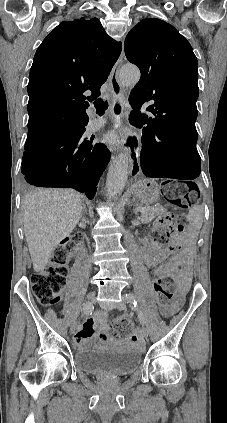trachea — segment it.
Wrapping results in <instances>:
<instances>
[{
  "instance_id": "3493384b",
  "label": "trachea",
  "mask_w": 227,
  "mask_h": 423,
  "mask_svg": "<svg viewBox=\"0 0 227 423\" xmlns=\"http://www.w3.org/2000/svg\"><path fill=\"white\" fill-rule=\"evenodd\" d=\"M94 106L96 108V113L101 116L105 113V110H107L108 102L107 100H102L101 98H98L97 100H95Z\"/></svg>"
}]
</instances>
